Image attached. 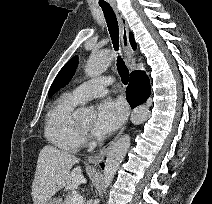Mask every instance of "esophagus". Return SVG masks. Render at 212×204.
<instances>
[{
  "label": "esophagus",
  "mask_w": 212,
  "mask_h": 204,
  "mask_svg": "<svg viewBox=\"0 0 212 204\" xmlns=\"http://www.w3.org/2000/svg\"><path fill=\"white\" fill-rule=\"evenodd\" d=\"M114 11L117 15L119 26H120V36H121V43H122V48H123V52L125 56V61H126V64L130 66L133 60V51L129 42L128 24L124 16L121 14V12L117 8H114ZM127 123H128V118L126 119L119 133L106 146H104L98 153L88 157V161L90 163L96 164L100 159H102L108 153V151L111 149L115 141L120 137V135L126 129Z\"/></svg>",
  "instance_id": "1"
}]
</instances>
